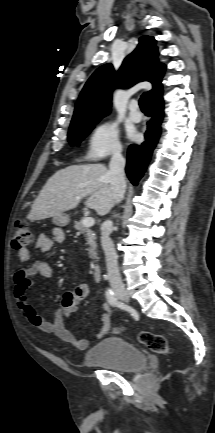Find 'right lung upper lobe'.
<instances>
[{
	"instance_id": "cb5924a9",
	"label": "right lung upper lobe",
	"mask_w": 215,
	"mask_h": 433,
	"mask_svg": "<svg viewBox=\"0 0 215 433\" xmlns=\"http://www.w3.org/2000/svg\"><path fill=\"white\" fill-rule=\"evenodd\" d=\"M155 43L153 37H141L138 46L124 59L118 72H115L112 64L98 68L78 98L71 124L98 120L108 115L112 92L116 87H129L148 81L153 85V89L147 92L149 101L161 94L165 65L158 62Z\"/></svg>"
}]
</instances>
